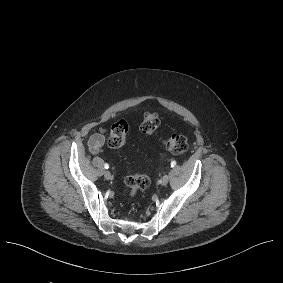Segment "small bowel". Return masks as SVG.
I'll return each mask as SVG.
<instances>
[{
    "instance_id": "1",
    "label": "small bowel",
    "mask_w": 283,
    "mask_h": 283,
    "mask_svg": "<svg viewBox=\"0 0 283 283\" xmlns=\"http://www.w3.org/2000/svg\"><path fill=\"white\" fill-rule=\"evenodd\" d=\"M105 132V129H100L98 133H95L89 139L88 145L92 154L99 153V151L104 147L106 143Z\"/></svg>"
}]
</instances>
